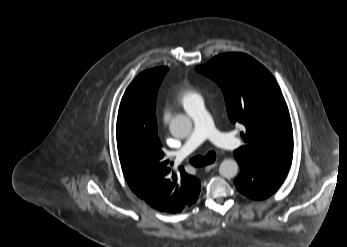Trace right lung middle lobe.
I'll return each instance as SVG.
<instances>
[{
  "label": "right lung middle lobe",
  "mask_w": 347,
  "mask_h": 247,
  "mask_svg": "<svg viewBox=\"0 0 347 247\" xmlns=\"http://www.w3.org/2000/svg\"><path fill=\"white\" fill-rule=\"evenodd\" d=\"M168 68L167 67H157L147 71L142 72L147 78L151 79L154 86V102L156 101L157 90L161 84L163 77L165 76Z\"/></svg>",
  "instance_id": "obj_1"
}]
</instances>
